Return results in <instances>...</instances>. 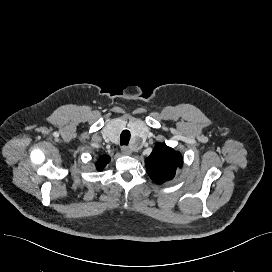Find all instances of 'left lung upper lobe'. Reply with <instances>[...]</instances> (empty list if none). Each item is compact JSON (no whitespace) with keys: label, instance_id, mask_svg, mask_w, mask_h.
Here are the masks:
<instances>
[{"label":"left lung upper lobe","instance_id":"obj_1","mask_svg":"<svg viewBox=\"0 0 272 272\" xmlns=\"http://www.w3.org/2000/svg\"><path fill=\"white\" fill-rule=\"evenodd\" d=\"M145 165L150 178L157 184H162L174 177L177 167L182 165V157L165 144L157 143L146 158Z\"/></svg>","mask_w":272,"mask_h":272}]
</instances>
